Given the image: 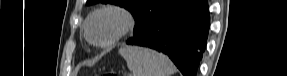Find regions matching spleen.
Segmentation results:
<instances>
[{
  "label": "spleen",
  "instance_id": "spleen-1",
  "mask_svg": "<svg viewBox=\"0 0 287 76\" xmlns=\"http://www.w3.org/2000/svg\"><path fill=\"white\" fill-rule=\"evenodd\" d=\"M119 53L124 57L133 76H171L175 67L170 59L154 50L125 46Z\"/></svg>",
  "mask_w": 287,
  "mask_h": 76
}]
</instances>
